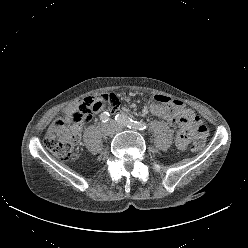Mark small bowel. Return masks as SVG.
I'll list each match as a JSON object with an SVG mask.
<instances>
[{
  "label": "small bowel",
  "instance_id": "c3829d8e",
  "mask_svg": "<svg viewBox=\"0 0 248 248\" xmlns=\"http://www.w3.org/2000/svg\"><path fill=\"white\" fill-rule=\"evenodd\" d=\"M96 98L101 101L98 111L103 110L106 106H109L112 111H116L120 107L119 99L115 94H100ZM146 102L148 105L142 108L141 114L151 113L168 123L176 124L180 130L176 135L175 144L179 150H185L192 136L196 134L194 128L199 123L194 112L186 108L182 102L171 100L166 96L158 95L155 99L147 97Z\"/></svg>",
  "mask_w": 248,
  "mask_h": 248
}]
</instances>
